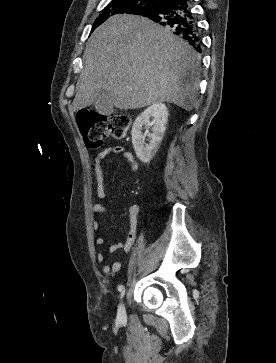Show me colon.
I'll use <instances>...</instances> for the list:
<instances>
[{"label": "colon", "instance_id": "5ec220e1", "mask_svg": "<svg viewBox=\"0 0 276 363\" xmlns=\"http://www.w3.org/2000/svg\"><path fill=\"white\" fill-rule=\"evenodd\" d=\"M77 123L86 145L97 149L109 136L117 140L125 139L131 118L123 113L100 115L89 109H81L77 113Z\"/></svg>", "mask_w": 276, "mask_h": 363}]
</instances>
